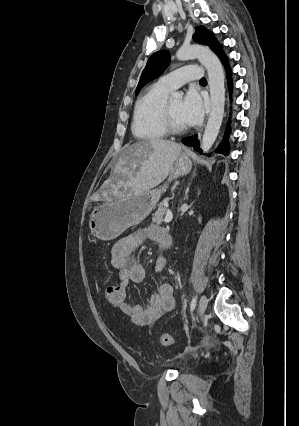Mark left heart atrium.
Returning a JSON list of instances; mask_svg holds the SVG:
<instances>
[{
  "label": "left heart atrium",
  "instance_id": "obj_1",
  "mask_svg": "<svg viewBox=\"0 0 299 426\" xmlns=\"http://www.w3.org/2000/svg\"><path fill=\"white\" fill-rule=\"evenodd\" d=\"M180 116L186 125H197L201 122L204 116V104L197 92L186 93L181 104Z\"/></svg>",
  "mask_w": 299,
  "mask_h": 426
}]
</instances>
